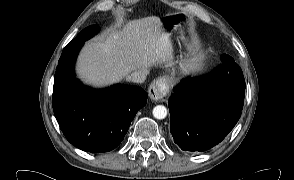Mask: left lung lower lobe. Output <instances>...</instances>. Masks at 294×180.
Instances as JSON below:
<instances>
[{
	"label": "left lung lower lobe",
	"instance_id": "1",
	"mask_svg": "<svg viewBox=\"0 0 294 180\" xmlns=\"http://www.w3.org/2000/svg\"><path fill=\"white\" fill-rule=\"evenodd\" d=\"M210 74L184 79L169 99L170 132L184 151H206L220 143L241 116L245 80L229 55Z\"/></svg>",
	"mask_w": 294,
	"mask_h": 180
}]
</instances>
